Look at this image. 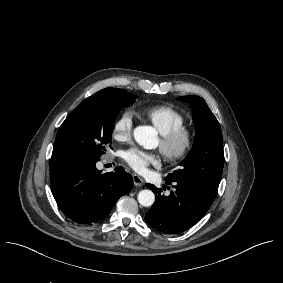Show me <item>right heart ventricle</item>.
Returning <instances> with one entry per match:
<instances>
[{"label":"right heart ventricle","mask_w":283,"mask_h":283,"mask_svg":"<svg viewBox=\"0 0 283 283\" xmlns=\"http://www.w3.org/2000/svg\"><path fill=\"white\" fill-rule=\"evenodd\" d=\"M140 114L149 121L161 135H165L186 123V118L183 114L166 105H157L147 108L141 111Z\"/></svg>","instance_id":"e07e8e85"}]
</instances>
